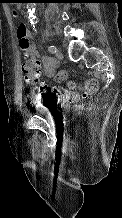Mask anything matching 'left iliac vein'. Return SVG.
Masks as SVG:
<instances>
[{
  "instance_id": "1",
  "label": "left iliac vein",
  "mask_w": 122,
  "mask_h": 218,
  "mask_svg": "<svg viewBox=\"0 0 122 218\" xmlns=\"http://www.w3.org/2000/svg\"><path fill=\"white\" fill-rule=\"evenodd\" d=\"M55 55H56V57H57L58 59H62V58H63V55H62L61 51L58 50V49H56Z\"/></svg>"
}]
</instances>
